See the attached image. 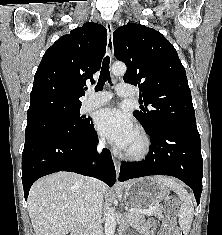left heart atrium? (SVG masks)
<instances>
[{
  "label": "left heart atrium",
  "mask_w": 222,
  "mask_h": 235,
  "mask_svg": "<svg viewBox=\"0 0 222 235\" xmlns=\"http://www.w3.org/2000/svg\"><path fill=\"white\" fill-rule=\"evenodd\" d=\"M95 123L99 133L119 149H126L136 132L131 117L117 108L100 110Z\"/></svg>",
  "instance_id": "obj_1"
}]
</instances>
